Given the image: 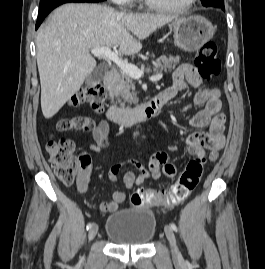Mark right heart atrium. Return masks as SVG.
Here are the masks:
<instances>
[{
	"label": "right heart atrium",
	"mask_w": 265,
	"mask_h": 269,
	"mask_svg": "<svg viewBox=\"0 0 265 269\" xmlns=\"http://www.w3.org/2000/svg\"><path fill=\"white\" fill-rule=\"evenodd\" d=\"M113 3L115 4H119V5H127L132 3L135 0H111Z\"/></svg>",
	"instance_id": "1"
}]
</instances>
